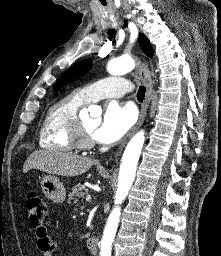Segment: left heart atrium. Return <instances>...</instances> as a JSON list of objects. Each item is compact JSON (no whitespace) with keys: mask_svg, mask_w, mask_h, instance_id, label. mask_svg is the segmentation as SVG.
<instances>
[{"mask_svg":"<svg viewBox=\"0 0 221 256\" xmlns=\"http://www.w3.org/2000/svg\"><path fill=\"white\" fill-rule=\"evenodd\" d=\"M135 120L136 113L131 106L111 102L105 109L100 125L92 132V137L98 142L112 144L128 132Z\"/></svg>","mask_w":221,"mask_h":256,"instance_id":"obj_1","label":"left heart atrium"}]
</instances>
